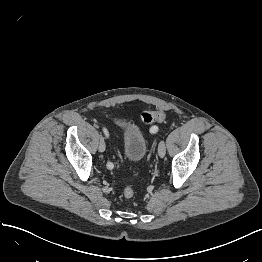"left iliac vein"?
I'll use <instances>...</instances> for the list:
<instances>
[{
  "instance_id": "1",
  "label": "left iliac vein",
  "mask_w": 262,
  "mask_h": 262,
  "mask_svg": "<svg viewBox=\"0 0 262 262\" xmlns=\"http://www.w3.org/2000/svg\"><path fill=\"white\" fill-rule=\"evenodd\" d=\"M166 154V146H165V142L164 141H161L159 143V146H158V155L160 158H163Z\"/></svg>"
}]
</instances>
